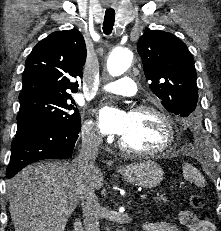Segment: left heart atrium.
I'll list each match as a JSON object with an SVG mask.
<instances>
[{"label":"left heart atrium","mask_w":221,"mask_h":231,"mask_svg":"<svg viewBox=\"0 0 221 231\" xmlns=\"http://www.w3.org/2000/svg\"><path fill=\"white\" fill-rule=\"evenodd\" d=\"M99 128L106 134L123 135L129 125L130 113L111 107H104L98 112Z\"/></svg>","instance_id":"obj_1"}]
</instances>
